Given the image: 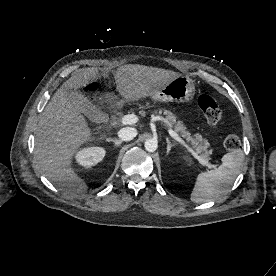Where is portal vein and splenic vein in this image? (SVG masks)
<instances>
[{"label":"portal vein and splenic vein","instance_id":"portal-vein-and-splenic-vein-1","mask_svg":"<svg viewBox=\"0 0 276 276\" xmlns=\"http://www.w3.org/2000/svg\"><path fill=\"white\" fill-rule=\"evenodd\" d=\"M138 122V117L134 114H128L125 115L121 118V123L123 125H132ZM168 132L170 134L171 137H173L176 141H178L180 144H182L183 146H185L193 155L196 159H198V161L200 162V164H202L203 166L208 167L209 169H213L215 166L208 163V161L204 160L203 158L199 157L195 151H193L186 143L185 141L171 128L168 129Z\"/></svg>","mask_w":276,"mask_h":276}]
</instances>
